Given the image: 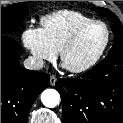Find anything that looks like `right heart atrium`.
Instances as JSON below:
<instances>
[{"label":"right heart atrium","mask_w":123,"mask_h":123,"mask_svg":"<svg viewBox=\"0 0 123 123\" xmlns=\"http://www.w3.org/2000/svg\"><path fill=\"white\" fill-rule=\"evenodd\" d=\"M22 43L38 64L51 61L56 52L51 48L41 28L26 27L22 32Z\"/></svg>","instance_id":"1"}]
</instances>
